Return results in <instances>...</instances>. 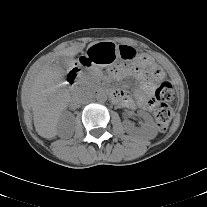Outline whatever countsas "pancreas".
<instances>
[{
  "label": "pancreas",
  "mask_w": 207,
  "mask_h": 207,
  "mask_svg": "<svg viewBox=\"0 0 207 207\" xmlns=\"http://www.w3.org/2000/svg\"><path fill=\"white\" fill-rule=\"evenodd\" d=\"M101 74L95 72H84L81 75V85L86 88H93L96 83L97 79Z\"/></svg>",
  "instance_id": "pancreas-1"
}]
</instances>
